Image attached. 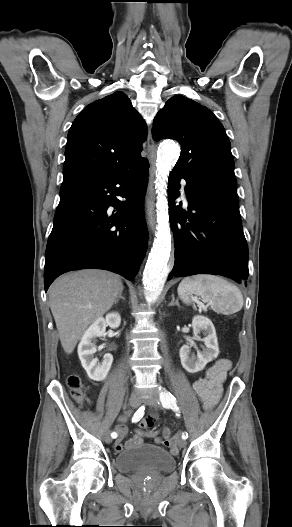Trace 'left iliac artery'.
Listing matches in <instances>:
<instances>
[{"mask_svg":"<svg viewBox=\"0 0 292 527\" xmlns=\"http://www.w3.org/2000/svg\"><path fill=\"white\" fill-rule=\"evenodd\" d=\"M159 396L162 406L167 409H172L173 411L179 413V407L177 406L176 398L165 388L159 387ZM188 438L187 432L182 433V439L186 440Z\"/></svg>","mask_w":292,"mask_h":527,"instance_id":"1","label":"left iliac artery"}]
</instances>
